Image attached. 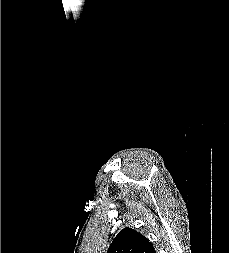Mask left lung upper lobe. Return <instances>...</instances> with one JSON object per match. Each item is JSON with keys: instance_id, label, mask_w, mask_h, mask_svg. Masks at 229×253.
Here are the masks:
<instances>
[{"instance_id": "5c2ea615", "label": "left lung upper lobe", "mask_w": 229, "mask_h": 253, "mask_svg": "<svg viewBox=\"0 0 229 253\" xmlns=\"http://www.w3.org/2000/svg\"><path fill=\"white\" fill-rule=\"evenodd\" d=\"M107 253H156L146 237L132 228L121 230L112 241Z\"/></svg>"}]
</instances>
